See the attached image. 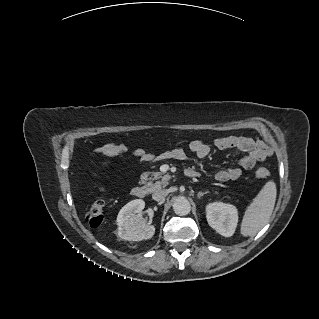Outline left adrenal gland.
Wrapping results in <instances>:
<instances>
[{
	"mask_svg": "<svg viewBox=\"0 0 319 319\" xmlns=\"http://www.w3.org/2000/svg\"><path fill=\"white\" fill-rule=\"evenodd\" d=\"M208 192H198L197 197L201 198L203 195L207 194Z\"/></svg>",
	"mask_w": 319,
	"mask_h": 319,
	"instance_id": "obj_1",
	"label": "left adrenal gland"
}]
</instances>
